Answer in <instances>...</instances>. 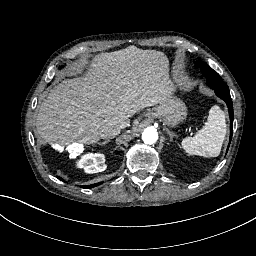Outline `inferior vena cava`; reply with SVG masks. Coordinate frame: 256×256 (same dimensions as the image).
Returning a JSON list of instances; mask_svg holds the SVG:
<instances>
[{"mask_svg":"<svg viewBox=\"0 0 256 256\" xmlns=\"http://www.w3.org/2000/svg\"><path fill=\"white\" fill-rule=\"evenodd\" d=\"M121 128H113V129H111V130H109L106 134H104L103 136H102V138H111V137H113V136H115V135H117L118 133H119V130H120Z\"/></svg>","mask_w":256,"mask_h":256,"instance_id":"602c4592","label":"inferior vena cava"}]
</instances>
